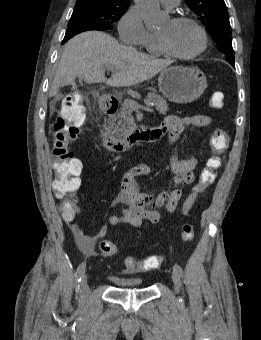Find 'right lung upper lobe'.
Returning <instances> with one entry per match:
<instances>
[{
    "label": "right lung upper lobe",
    "mask_w": 261,
    "mask_h": 340,
    "mask_svg": "<svg viewBox=\"0 0 261 340\" xmlns=\"http://www.w3.org/2000/svg\"><path fill=\"white\" fill-rule=\"evenodd\" d=\"M85 2H96V3H105V4L128 5V1L127 0H77L76 3H85Z\"/></svg>",
    "instance_id": "1"
}]
</instances>
